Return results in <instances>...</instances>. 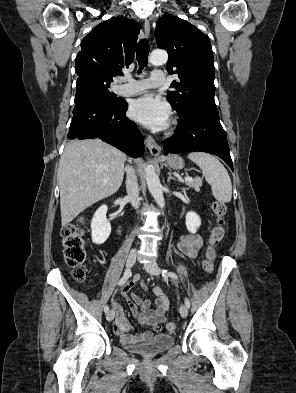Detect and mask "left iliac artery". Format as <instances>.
Here are the masks:
<instances>
[{
    "label": "left iliac artery",
    "instance_id": "left-iliac-artery-1",
    "mask_svg": "<svg viewBox=\"0 0 296 393\" xmlns=\"http://www.w3.org/2000/svg\"><path fill=\"white\" fill-rule=\"evenodd\" d=\"M161 272H162V276H163L164 278L170 277V278H172V279H174V280H175V279H178L177 274H176L175 272H173V271H168V270H166V269H162ZM185 305H186L187 308L190 307V301H189L188 298L185 299Z\"/></svg>",
    "mask_w": 296,
    "mask_h": 393
}]
</instances>
